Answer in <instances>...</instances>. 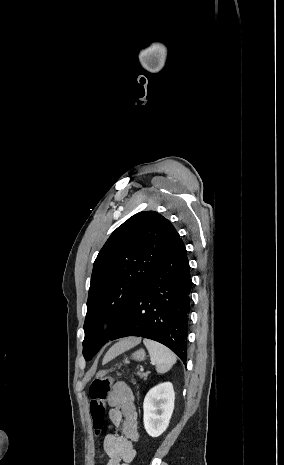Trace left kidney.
<instances>
[{
  "mask_svg": "<svg viewBox=\"0 0 284 465\" xmlns=\"http://www.w3.org/2000/svg\"><path fill=\"white\" fill-rule=\"evenodd\" d=\"M175 393L172 383H161L148 391L144 403V427L150 437L166 431L174 411Z\"/></svg>",
  "mask_w": 284,
  "mask_h": 465,
  "instance_id": "obj_1",
  "label": "left kidney"
}]
</instances>
